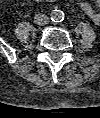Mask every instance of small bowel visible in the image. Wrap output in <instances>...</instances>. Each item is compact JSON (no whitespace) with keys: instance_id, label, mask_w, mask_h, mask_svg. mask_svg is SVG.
<instances>
[{"instance_id":"c3829d8e","label":"small bowel","mask_w":100,"mask_h":118,"mask_svg":"<svg viewBox=\"0 0 100 118\" xmlns=\"http://www.w3.org/2000/svg\"><path fill=\"white\" fill-rule=\"evenodd\" d=\"M35 2H40L42 0H33ZM49 2H55L56 0H47ZM100 5V0H96ZM80 7L82 11L96 24H100V13L92 7V5L87 1H81Z\"/></svg>"}]
</instances>
